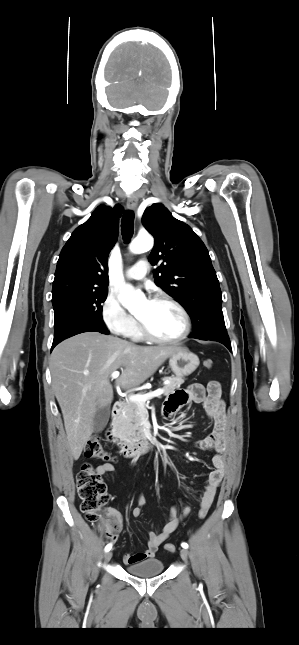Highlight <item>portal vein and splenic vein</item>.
<instances>
[{"mask_svg":"<svg viewBox=\"0 0 299 645\" xmlns=\"http://www.w3.org/2000/svg\"><path fill=\"white\" fill-rule=\"evenodd\" d=\"M119 375H120V372L115 371L110 375V377L112 379H116V378L119 377ZM163 393H164L163 389H157V390H155L153 392H149V393L143 394V395H141V394L132 395V396L129 397V400L137 402L139 404H144L147 400H150V399H152L154 397H158V396L162 395Z\"/></svg>","mask_w":299,"mask_h":645,"instance_id":"18ae733b","label":"portal vein and splenic vein"}]
</instances>
